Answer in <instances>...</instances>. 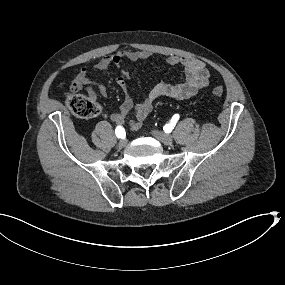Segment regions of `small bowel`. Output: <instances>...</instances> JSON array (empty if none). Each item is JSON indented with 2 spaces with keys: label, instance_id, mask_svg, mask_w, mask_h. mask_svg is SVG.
I'll use <instances>...</instances> for the list:
<instances>
[{
  "label": "small bowel",
  "instance_id": "1",
  "mask_svg": "<svg viewBox=\"0 0 285 285\" xmlns=\"http://www.w3.org/2000/svg\"><path fill=\"white\" fill-rule=\"evenodd\" d=\"M150 56L151 54L144 50H122L102 57L95 65V68L103 71L111 65L120 67L125 60L142 61L148 59ZM166 62L171 66H182L185 71L184 80L177 84L160 82L152 87L143 101L136 104L127 93V76L125 73L117 77V84L124 91L125 97L119 110L111 115V120L114 123L123 124L126 116L133 111L134 117L129 121V126L132 130L136 131L140 129L143 121L152 111L154 103L159 98L188 99L195 96L208 85L210 73L204 62L191 56L177 55L168 56ZM70 89L72 93L84 90L93 100L96 99L97 94L104 98L108 96V90L104 85L96 84V90L93 88L85 68H82L74 77Z\"/></svg>",
  "mask_w": 285,
  "mask_h": 285
}]
</instances>
